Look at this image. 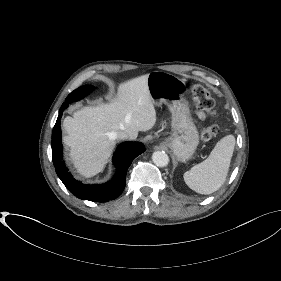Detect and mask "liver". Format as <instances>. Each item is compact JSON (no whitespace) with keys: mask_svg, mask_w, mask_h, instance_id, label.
<instances>
[{"mask_svg":"<svg viewBox=\"0 0 281 281\" xmlns=\"http://www.w3.org/2000/svg\"><path fill=\"white\" fill-rule=\"evenodd\" d=\"M156 123V111L148 89V74L118 87L110 103L84 107L66 117L63 127L70 157L78 173L90 178L101 172L115 146V133L127 132L135 139Z\"/></svg>","mask_w":281,"mask_h":281,"instance_id":"liver-1","label":"liver"}]
</instances>
